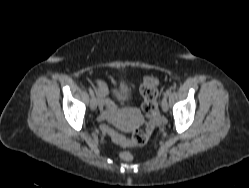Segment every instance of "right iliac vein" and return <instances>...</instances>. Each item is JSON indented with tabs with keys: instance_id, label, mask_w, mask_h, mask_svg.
<instances>
[{
	"instance_id": "right-iliac-vein-1",
	"label": "right iliac vein",
	"mask_w": 249,
	"mask_h": 188,
	"mask_svg": "<svg viewBox=\"0 0 249 188\" xmlns=\"http://www.w3.org/2000/svg\"><path fill=\"white\" fill-rule=\"evenodd\" d=\"M97 98L95 97V95H92L91 96V99H90V108L91 110H95L97 108Z\"/></svg>"
}]
</instances>
